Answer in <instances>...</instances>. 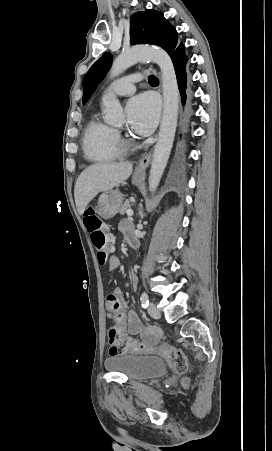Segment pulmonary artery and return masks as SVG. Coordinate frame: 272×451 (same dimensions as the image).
<instances>
[{
  "label": "pulmonary artery",
  "instance_id": "obj_1",
  "mask_svg": "<svg viewBox=\"0 0 272 451\" xmlns=\"http://www.w3.org/2000/svg\"><path fill=\"white\" fill-rule=\"evenodd\" d=\"M144 76L143 72L139 74H133L121 79H118L111 84L108 90V94L118 95V96H129L135 92L134 83L141 80Z\"/></svg>",
  "mask_w": 272,
  "mask_h": 451
}]
</instances>
